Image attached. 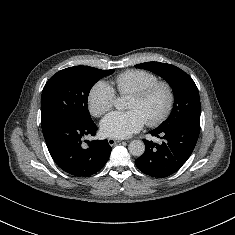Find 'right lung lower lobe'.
Instances as JSON below:
<instances>
[{"instance_id": "1", "label": "right lung lower lobe", "mask_w": 235, "mask_h": 235, "mask_svg": "<svg viewBox=\"0 0 235 235\" xmlns=\"http://www.w3.org/2000/svg\"><path fill=\"white\" fill-rule=\"evenodd\" d=\"M95 123L63 121L43 133L49 153L55 163L65 172L74 176H90L98 172L107 162L111 146L107 140L88 142L82 146V139L94 136Z\"/></svg>"}]
</instances>
